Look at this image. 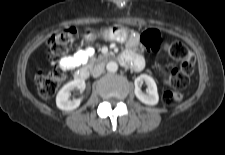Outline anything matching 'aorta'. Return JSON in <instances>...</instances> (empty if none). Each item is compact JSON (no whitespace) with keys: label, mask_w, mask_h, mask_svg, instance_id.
Instances as JSON below:
<instances>
[{"label":"aorta","mask_w":225,"mask_h":155,"mask_svg":"<svg viewBox=\"0 0 225 155\" xmlns=\"http://www.w3.org/2000/svg\"><path fill=\"white\" fill-rule=\"evenodd\" d=\"M106 69L109 72H116L118 70V64L114 61H110L107 63Z\"/></svg>","instance_id":"obj_1"}]
</instances>
